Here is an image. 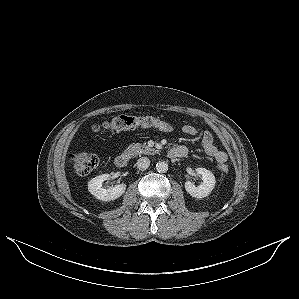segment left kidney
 <instances>
[{
  "label": "left kidney",
  "instance_id": "5707ae66",
  "mask_svg": "<svg viewBox=\"0 0 299 299\" xmlns=\"http://www.w3.org/2000/svg\"><path fill=\"white\" fill-rule=\"evenodd\" d=\"M196 173L202 176L203 182L199 186H195L192 182L185 183V190L195 198H204L208 196L215 187V176L205 168H197Z\"/></svg>",
  "mask_w": 299,
  "mask_h": 299
}]
</instances>
